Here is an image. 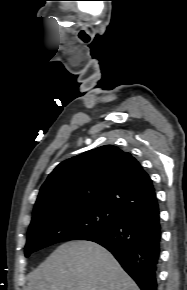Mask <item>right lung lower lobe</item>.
I'll return each mask as SVG.
<instances>
[{
    "instance_id": "right-lung-lower-lobe-1",
    "label": "right lung lower lobe",
    "mask_w": 187,
    "mask_h": 290,
    "mask_svg": "<svg viewBox=\"0 0 187 290\" xmlns=\"http://www.w3.org/2000/svg\"><path fill=\"white\" fill-rule=\"evenodd\" d=\"M159 209L127 215L108 229L86 237L107 248L141 290H157L161 247Z\"/></svg>"
}]
</instances>
